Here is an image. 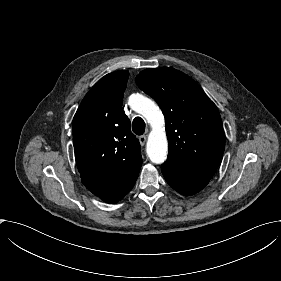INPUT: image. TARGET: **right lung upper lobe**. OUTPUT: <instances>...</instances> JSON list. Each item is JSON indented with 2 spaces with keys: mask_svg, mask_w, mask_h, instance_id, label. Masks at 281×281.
I'll list each match as a JSON object with an SVG mask.
<instances>
[{
  "mask_svg": "<svg viewBox=\"0 0 281 281\" xmlns=\"http://www.w3.org/2000/svg\"><path fill=\"white\" fill-rule=\"evenodd\" d=\"M129 72L101 78L82 100L72 122L76 164L81 181L101 197L142 161L140 144L122 109Z\"/></svg>",
  "mask_w": 281,
  "mask_h": 281,
  "instance_id": "1",
  "label": "right lung upper lobe"
}]
</instances>
